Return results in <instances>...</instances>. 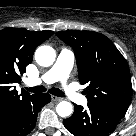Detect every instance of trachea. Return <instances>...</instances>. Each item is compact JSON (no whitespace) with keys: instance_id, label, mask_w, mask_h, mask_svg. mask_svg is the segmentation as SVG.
I'll return each instance as SVG.
<instances>
[{"instance_id":"trachea-1","label":"trachea","mask_w":136,"mask_h":136,"mask_svg":"<svg viewBox=\"0 0 136 136\" xmlns=\"http://www.w3.org/2000/svg\"><path fill=\"white\" fill-rule=\"evenodd\" d=\"M28 91L33 92V93H41V92H45L46 88L44 86H35V87H31V88H26ZM49 93L58 96V97H64V93L58 89V88H51L49 89Z\"/></svg>"}]
</instances>
